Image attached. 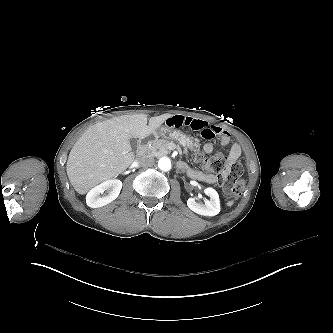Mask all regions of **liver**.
<instances>
[{"label":"liver","instance_id":"obj_1","mask_svg":"<svg viewBox=\"0 0 333 333\" xmlns=\"http://www.w3.org/2000/svg\"><path fill=\"white\" fill-rule=\"evenodd\" d=\"M172 114L151 117L146 114L114 117L89 127L70 151L66 171L79 194L125 171L134 161L131 138L150 136Z\"/></svg>","mask_w":333,"mask_h":333}]
</instances>
